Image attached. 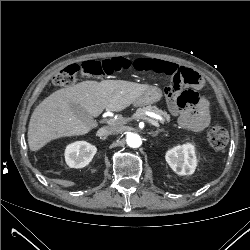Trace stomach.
<instances>
[{"instance_id":"obj_1","label":"stomach","mask_w":250,"mask_h":250,"mask_svg":"<svg viewBox=\"0 0 250 250\" xmlns=\"http://www.w3.org/2000/svg\"><path fill=\"white\" fill-rule=\"evenodd\" d=\"M163 94L161 89L157 87H150L147 89L135 102V106H144L153 104L161 100Z\"/></svg>"}]
</instances>
